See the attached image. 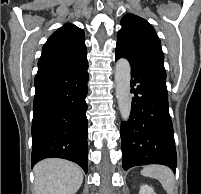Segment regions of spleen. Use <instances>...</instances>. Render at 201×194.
<instances>
[{
	"label": "spleen",
	"instance_id": "spleen-1",
	"mask_svg": "<svg viewBox=\"0 0 201 194\" xmlns=\"http://www.w3.org/2000/svg\"><path fill=\"white\" fill-rule=\"evenodd\" d=\"M141 174L159 180L164 190L168 194H173L175 186L174 175L168 167L162 165L147 166L141 171Z\"/></svg>",
	"mask_w": 201,
	"mask_h": 194
}]
</instances>
